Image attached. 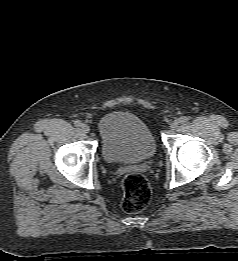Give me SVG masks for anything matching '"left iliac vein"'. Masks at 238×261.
I'll return each instance as SVG.
<instances>
[{"mask_svg": "<svg viewBox=\"0 0 238 261\" xmlns=\"http://www.w3.org/2000/svg\"><path fill=\"white\" fill-rule=\"evenodd\" d=\"M178 126H179V122L178 121H173L170 124V128L173 129V130L176 129Z\"/></svg>", "mask_w": 238, "mask_h": 261, "instance_id": "left-iliac-vein-1", "label": "left iliac vein"}]
</instances>
